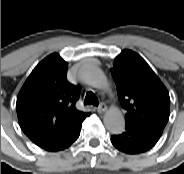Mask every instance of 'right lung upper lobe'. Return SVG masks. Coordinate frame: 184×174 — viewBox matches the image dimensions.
<instances>
[{"label":"right lung upper lobe","mask_w":184,"mask_h":174,"mask_svg":"<svg viewBox=\"0 0 184 174\" xmlns=\"http://www.w3.org/2000/svg\"><path fill=\"white\" fill-rule=\"evenodd\" d=\"M67 68L58 54L49 55L35 67L18 95L20 127L40 147L90 115L75 107L79 89L67 81Z\"/></svg>","instance_id":"right-lung-upper-lobe-1"}]
</instances>
